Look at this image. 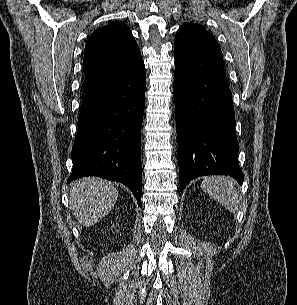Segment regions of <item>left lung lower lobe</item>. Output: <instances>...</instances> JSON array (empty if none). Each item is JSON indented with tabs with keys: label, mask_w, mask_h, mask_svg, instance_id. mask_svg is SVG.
Segmentation results:
<instances>
[{
	"label": "left lung lower lobe",
	"mask_w": 297,
	"mask_h": 305,
	"mask_svg": "<svg viewBox=\"0 0 297 305\" xmlns=\"http://www.w3.org/2000/svg\"><path fill=\"white\" fill-rule=\"evenodd\" d=\"M180 191L194 178L222 174L242 184L232 95L224 71L189 73L175 64Z\"/></svg>",
	"instance_id": "0a47b994"
}]
</instances>
